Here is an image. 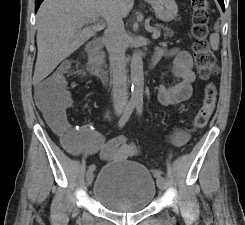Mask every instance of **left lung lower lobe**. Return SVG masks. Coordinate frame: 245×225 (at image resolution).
<instances>
[{
    "instance_id": "left-lung-lower-lobe-1",
    "label": "left lung lower lobe",
    "mask_w": 245,
    "mask_h": 225,
    "mask_svg": "<svg viewBox=\"0 0 245 225\" xmlns=\"http://www.w3.org/2000/svg\"><path fill=\"white\" fill-rule=\"evenodd\" d=\"M217 1L221 5L222 10L225 11L224 0H217Z\"/></svg>"
}]
</instances>
